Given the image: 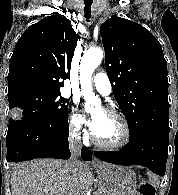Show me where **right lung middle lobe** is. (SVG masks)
<instances>
[{
    "instance_id": "1",
    "label": "right lung middle lobe",
    "mask_w": 178,
    "mask_h": 195,
    "mask_svg": "<svg viewBox=\"0 0 178 195\" xmlns=\"http://www.w3.org/2000/svg\"><path fill=\"white\" fill-rule=\"evenodd\" d=\"M11 120L31 118L53 120L67 117L68 99L61 97L59 90L30 89L8 96Z\"/></svg>"
}]
</instances>
